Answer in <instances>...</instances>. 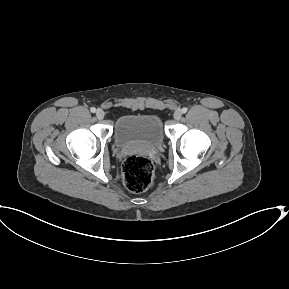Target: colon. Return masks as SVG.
Returning a JSON list of instances; mask_svg holds the SVG:
<instances>
[{
    "label": "colon",
    "mask_w": 289,
    "mask_h": 289,
    "mask_svg": "<svg viewBox=\"0 0 289 289\" xmlns=\"http://www.w3.org/2000/svg\"><path fill=\"white\" fill-rule=\"evenodd\" d=\"M122 178L128 190L135 193L143 192L153 181V165L145 156H129L122 165Z\"/></svg>",
    "instance_id": "colon-1"
}]
</instances>
